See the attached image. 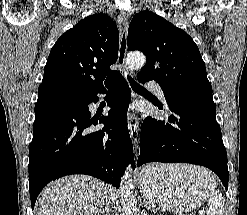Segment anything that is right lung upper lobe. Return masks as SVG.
<instances>
[{
	"instance_id": "cb5924a9",
	"label": "right lung upper lobe",
	"mask_w": 247,
	"mask_h": 215,
	"mask_svg": "<svg viewBox=\"0 0 247 215\" xmlns=\"http://www.w3.org/2000/svg\"><path fill=\"white\" fill-rule=\"evenodd\" d=\"M119 32L107 15L81 20L52 47L41 85L82 93L94 91L117 71L109 67L118 58Z\"/></svg>"
}]
</instances>
